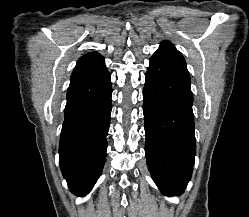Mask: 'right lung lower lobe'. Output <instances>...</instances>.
<instances>
[{
	"mask_svg": "<svg viewBox=\"0 0 249 217\" xmlns=\"http://www.w3.org/2000/svg\"><path fill=\"white\" fill-rule=\"evenodd\" d=\"M112 86L104 58L82 56L71 75L59 162L70 190L86 195L101 175L106 158Z\"/></svg>",
	"mask_w": 249,
	"mask_h": 217,
	"instance_id": "98d812e1",
	"label": "right lung lower lobe"
}]
</instances>
